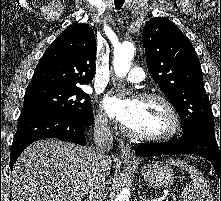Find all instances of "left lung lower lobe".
Instances as JSON below:
<instances>
[{
	"instance_id": "1",
	"label": "left lung lower lobe",
	"mask_w": 221,
	"mask_h": 201,
	"mask_svg": "<svg viewBox=\"0 0 221 201\" xmlns=\"http://www.w3.org/2000/svg\"><path fill=\"white\" fill-rule=\"evenodd\" d=\"M141 157L175 154H196L207 158L213 165L221 180V142L216 141L215 134L209 130L194 128L184 132L175 141L164 143H141L136 148Z\"/></svg>"
}]
</instances>
